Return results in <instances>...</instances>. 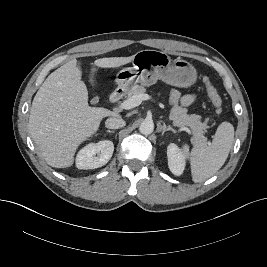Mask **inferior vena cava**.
Instances as JSON below:
<instances>
[{
    "instance_id": "inferior-vena-cava-1",
    "label": "inferior vena cava",
    "mask_w": 267,
    "mask_h": 267,
    "mask_svg": "<svg viewBox=\"0 0 267 267\" xmlns=\"http://www.w3.org/2000/svg\"><path fill=\"white\" fill-rule=\"evenodd\" d=\"M125 124V121L119 116L110 117L105 121V126L109 129H118L124 127Z\"/></svg>"
}]
</instances>
